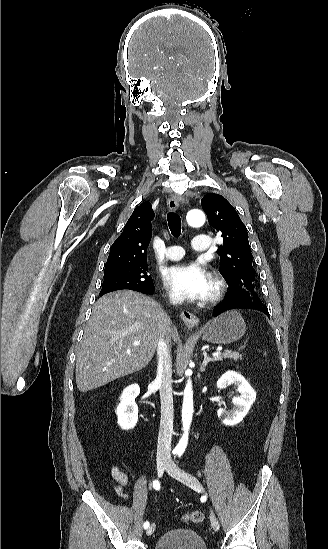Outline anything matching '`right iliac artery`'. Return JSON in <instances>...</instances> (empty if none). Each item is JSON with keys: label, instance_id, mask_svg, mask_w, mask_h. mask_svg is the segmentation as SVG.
Wrapping results in <instances>:
<instances>
[{"label": "right iliac artery", "instance_id": "1", "mask_svg": "<svg viewBox=\"0 0 328 549\" xmlns=\"http://www.w3.org/2000/svg\"><path fill=\"white\" fill-rule=\"evenodd\" d=\"M153 488L156 489V490L160 489V483H159L158 480L153 481ZM143 526H144V529H147L149 527V522L146 521Z\"/></svg>", "mask_w": 328, "mask_h": 549}]
</instances>
